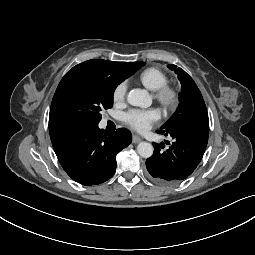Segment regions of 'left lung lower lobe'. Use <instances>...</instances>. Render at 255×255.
<instances>
[{
  "mask_svg": "<svg viewBox=\"0 0 255 255\" xmlns=\"http://www.w3.org/2000/svg\"><path fill=\"white\" fill-rule=\"evenodd\" d=\"M157 133L169 135L172 144L165 151L157 143L146 160L150 175L162 183H177L189 177L205 152L209 136V118L205 103L191 107L178 119Z\"/></svg>",
  "mask_w": 255,
  "mask_h": 255,
  "instance_id": "left-lung-lower-lobe-1",
  "label": "left lung lower lobe"
}]
</instances>
